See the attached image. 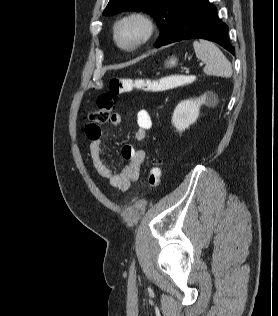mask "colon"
I'll use <instances>...</instances> for the list:
<instances>
[{"label":"colon","instance_id":"1","mask_svg":"<svg viewBox=\"0 0 278 316\" xmlns=\"http://www.w3.org/2000/svg\"><path fill=\"white\" fill-rule=\"evenodd\" d=\"M193 76H172L163 80L112 78L109 81L108 90L97 97V109L88 112L84 119L88 122L86 128L94 132L101 124L110 120L115 108L117 96L132 90L145 92H157L172 85L190 84ZM162 168L159 163L153 164L147 173V182L151 188H157L161 183Z\"/></svg>","mask_w":278,"mask_h":316}]
</instances>
